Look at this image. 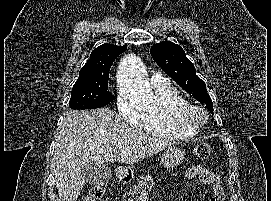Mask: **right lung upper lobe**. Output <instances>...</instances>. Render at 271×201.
I'll list each match as a JSON object with an SVG mask.
<instances>
[{
	"label": "right lung upper lobe",
	"mask_w": 271,
	"mask_h": 201,
	"mask_svg": "<svg viewBox=\"0 0 271 201\" xmlns=\"http://www.w3.org/2000/svg\"><path fill=\"white\" fill-rule=\"evenodd\" d=\"M126 48L127 45L116 46L113 44H103L95 48L88 62L81 68L79 77L109 75L114 59L123 53Z\"/></svg>",
	"instance_id": "1"
}]
</instances>
